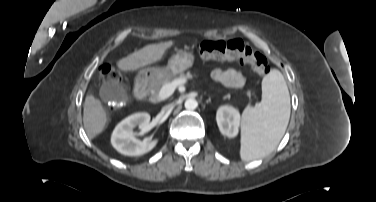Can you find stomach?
I'll use <instances>...</instances> for the list:
<instances>
[{
	"instance_id": "0dacf381",
	"label": "stomach",
	"mask_w": 376,
	"mask_h": 202,
	"mask_svg": "<svg viewBox=\"0 0 376 202\" xmlns=\"http://www.w3.org/2000/svg\"><path fill=\"white\" fill-rule=\"evenodd\" d=\"M193 62L194 55L192 52L179 51L170 58L165 68L147 67L140 70L138 75L148 82H153L166 76L175 77L192 67Z\"/></svg>"
}]
</instances>
